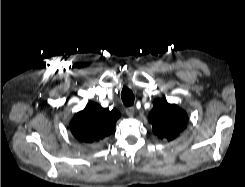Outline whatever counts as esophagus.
Instances as JSON below:
<instances>
[{"label": "esophagus", "instance_id": "obj_1", "mask_svg": "<svg viewBox=\"0 0 245 187\" xmlns=\"http://www.w3.org/2000/svg\"><path fill=\"white\" fill-rule=\"evenodd\" d=\"M126 114L129 116V117H132L134 114H135V108L134 107H128L126 109Z\"/></svg>", "mask_w": 245, "mask_h": 187}]
</instances>
